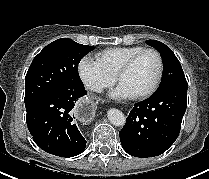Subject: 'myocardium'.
<instances>
[{
    "label": "myocardium",
    "mask_w": 209,
    "mask_h": 179,
    "mask_svg": "<svg viewBox=\"0 0 209 179\" xmlns=\"http://www.w3.org/2000/svg\"><path fill=\"white\" fill-rule=\"evenodd\" d=\"M146 53H152L156 56L157 61H158V72H157L155 80L153 81L152 85L148 89H146L145 91H143L139 94L131 96L133 99H136V100L145 99V98L149 97L150 95H152L157 90V88L161 82L163 72H164V61H163V57H162L161 53L154 48H144V49L140 50L139 52L135 53L134 55H132L130 58H128L122 64V66L118 69V71L116 72V74L114 76L115 82L118 83L120 77L122 75H124L127 71H129L131 69V67L135 64V62L142 55H144Z\"/></svg>",
    "instance_id": "myocardium-1"
}]
</instances>
